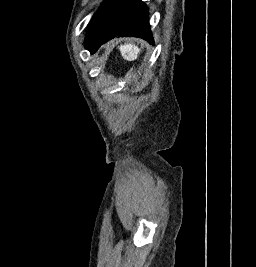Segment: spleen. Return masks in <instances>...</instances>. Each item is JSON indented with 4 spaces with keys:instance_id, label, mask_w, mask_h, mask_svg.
I'll return each instance as SVG.
<instances>
[{
    "instance_id": "obj_1",
    "label": "spleen",
    "mask_w": 256,
    "mask_h": 267,
    "mask_svg": "<svg viewBox=\"0 0 256 267\" xmlns=\"http://www.w3.org/2000/svg\"><path fill=\"white\" fill-rule=\"evenodd\" d=\"M119 50L121 56H123L124 60H127V62H134V60H137L140 52V48L134 46V44H124V46H119Z\"/></svg>"
}]
</instances>
